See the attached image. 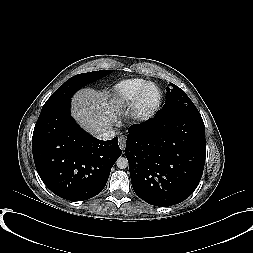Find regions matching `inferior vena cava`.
I'll use <instances>...</instances> for the list:
<instances>
[{"label":"inferior vena cava","mask_w":253,"mask_h":253,"mask_svg":"<svg viewBox=\"0 0 253 253\" xmlns=\"http://www.w3.org/2000/svg\"><path fill=\"white\" fill-rule=\"evenodd\" d=\"M114 136H115V131L112 128L103 129L95 134L96 138L100 140H104V141L110 140L114 138Z\"/></svg>","instance_id":"602c4592"}]
</instances>
